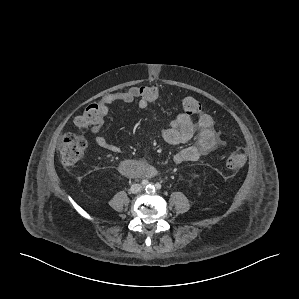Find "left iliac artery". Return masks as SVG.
<instances>
[{"mask_svg":"<svg viewBox=\"0 0 299 299\" xmlns=\"http://www.w3.org/2000/svg\"><path fill=\"white\" fill-rule=\"evenodd\" d=\"M148 186H150V185H148ZM148 186H146V188H148ZM161 187H162V186H161L160 183H156V184H155V188H156V189H161ZM150 188H151V187H150ZM153 188H154V186H153ZM146 191H147V192H152L149 188L146 189Z\"/></svg>","mask_w":299,"mask_h":299,"instance_id":"left-iliac-artery-1","label":"left iliac artery"}]
</instances>
